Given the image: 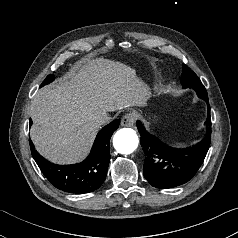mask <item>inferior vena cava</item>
Wrapping results in <instances>:
<instances>
[{
	"mask_svg": "<svg viewBox=\"0 0 238 238\" xmlns=\"http://www.w3.org/2000/svg\"><path fill=\"white\" fill-rule=\"evenodd\" d=\"M109 119L110 117L108 115H101L97 117L96 121L99 125H102L106 123Z\"/></svg>",
	"mask_w": 238,
	"mask_h": 238,
	"instance_id": "1",
	"label": "inferior vena cava"
}]
</instances>
